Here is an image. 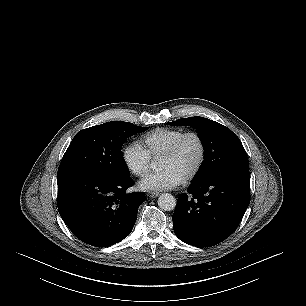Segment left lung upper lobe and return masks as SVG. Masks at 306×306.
<instances>
[{
    "instance_id": "1",
    "label": "left lung upper lobe",
    "mask_w": 306,
    "mask_h": 306,
    "mask_svg": "<svg viewBox=\"0 0 306 306\" xmlns=\"http://www.w3.org/2000/svg\"><path fill=\"white\" fill-rule=\"evenodd\" d=\"M168 124L192 126L204 146V161L192 182L224 171L249 170L246 151L240 139L229 128L199 116L182 118Z\"/></svg>"
}]
</instances>
